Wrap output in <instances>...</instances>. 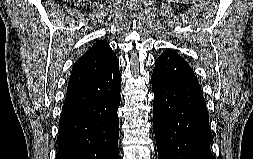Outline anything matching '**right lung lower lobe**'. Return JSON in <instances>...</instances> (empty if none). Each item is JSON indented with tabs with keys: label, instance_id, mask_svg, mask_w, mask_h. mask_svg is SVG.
Masks as SVG:
<instances>
[{
	"label": "right lung lower lobe",
	"instance_id": "right-lung-lower-lobe-1",
	"mask_svg": "<svg viewBox=\"0 0 253 159\" xmlns=\"http://www.w3.org/2000/svg\"><path fill=\"white\" fill-rule=\"evenodd\" d=\"M120 91L119 63L67 89L56 159H117Z\"/></svg>",
	"mask_w": 253,
	"mask_h": 159
}]
</instances>
